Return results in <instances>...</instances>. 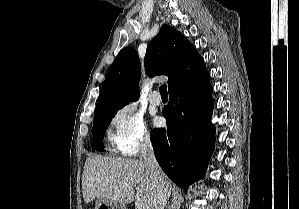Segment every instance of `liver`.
I'll use <instances>...</instances> for the list:
<instances>
[{
	"label": "liver",
	"instance_id": "liver-1",
	"mask_svg": "<svg viewBox=\"0 0 299 209\" xmlns=\"http://www.w3.org/2000/svg\"><path fill=\"white\" fill-rule=\"evenodd\" d=\"M165 189L167 194L172 190V183L166 176ZM82 193L85 203L101 198L125 205L135 199V209H153L157 199L153 178L142 161L108 156L87 158Z\"/></svg>",
	"mask_w": 299,
	"mask_h": 209
}]
</instances>
